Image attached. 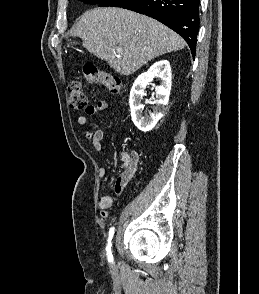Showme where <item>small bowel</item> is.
<instances>
[{"label": "small bowel", "instance_id": "small-bowel-1", "mask_svg": "<svg viewBox=\"0 0 259 294\" xmlns=\"http://www.w3.org/2000/svg\"><path fill=\"white\" fill-rule=\"evenodd\" d=\"M107 109V102L104 100H98L93 105H89L85 110L88 116H94L98 113ZM77 122L81 126H85L87 124V117L86 116H79ZM86 137L92 142L94 149L100 152L103 148L102 141L104 138V132L101 129H98L94 132H86ZM139 162V156L137 153H132L130 157V162L128 168L122 172L119 177L116 179L114 184V191L117 195H121L125 185L128 183L129 179L133 176L134 172L137 169ZM106 169L100 168L99 169V177L105 178L106 177ZM99 207L101 210L102 217L106 218L111 214V210L113 207V199L110 196H103L100 199Z\"/></svg>", "mask_w": 259, "mask_h": 294}]
</instances>
